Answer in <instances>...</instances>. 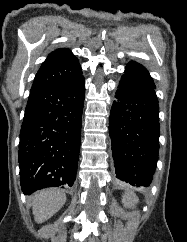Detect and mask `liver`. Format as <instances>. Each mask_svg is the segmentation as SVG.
Returning a JSON list of instances; mask_svg holds the SVG:
<instances>
[{"label": "liver", "instance_id": "liver-1", "mask_svg": "<svg viewBox=\"0 0 187 242\" xmlns=\"http://www.w3.org/2000/svg\"><path fill=\"white\" fill-rule=\"evenodd\" d=\"M32 199L34 219L37 223H43L63 207L66 195L60 189L50 188L35 193Z\"/></svg>", "mask_w": 187, "mask_h": 242}]
</instances>
